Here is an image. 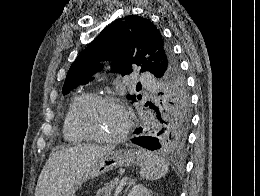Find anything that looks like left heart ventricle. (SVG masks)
Masks as SVG:
<instances>
[{
    "label": "left heart ventricle",
    "instance_id": "left-heart-ventricle-1",
    "mask_svg": "<svg viewBox=\"0 0 260 196\" xmlns=\"http://www.w3.org/2000/svg\"><path fill=\"white\" fill-rule=\"evenodd\" d=\"M88 126L99 134H117L124 126L125 114L116 104H103L89 116Z\"/></svg>",
    "mask_w": 260,
    "mask_h": 196
}]
</instances>
